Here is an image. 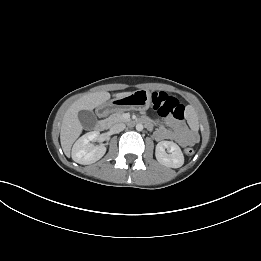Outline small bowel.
Listing matches in <instances>:
<instances>
[{"label":"small bowel","instance_id":"c3829d8e","mask_svg":"<svg viewBox=\"0 0 261 261\" xmlns=\"http://www.w3.org/2000/svg\"><path fill=\"white\" fill-rule=\"evenodd\" d=\"M154 136L158 141L170 139L176 141L181 146L192 145L197 141L196 134L190 131L182 121L175 119H169L167 127L162 126L158 128Z\"/></svg>","mask_w":261,"mask_h":261}]
</instances>
